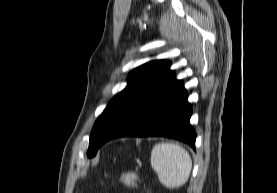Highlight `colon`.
<instances>
[{"label":"colon","mask_w":277,"mask_h":193,"mask_svg":"<svg viewBox=\"0 0 277 193\" xmlns=\"http://www.w3.org/2000/svg\"><path fill=\"white\" fill-rule=\"evenodd\" d=\"M116 181L128 188L139 189L141 187V179L139 175L133 171L119 173L116 176Z\"/></svg>","instance_id":"obj_1"}]
</instances>
